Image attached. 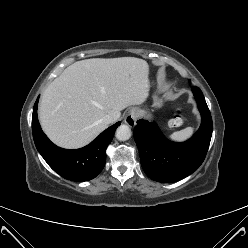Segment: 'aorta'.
<instances>
[{
  "label": "aorta",
  "mask_w": 248,
  "mask_h": 248,
  "mask_svg": "<svg viewBox=\"0 0 248 248\" xmlns=\"http://www.w3.org/2000/svg\"><path fill=\"white\" fill-rule=\"evenodd\" d=\"M131 137V129L128 125H120L116 130V138L119 141H126Z\"/></svg>",
  "instance_id": "obj_1"
}]
</instances>
